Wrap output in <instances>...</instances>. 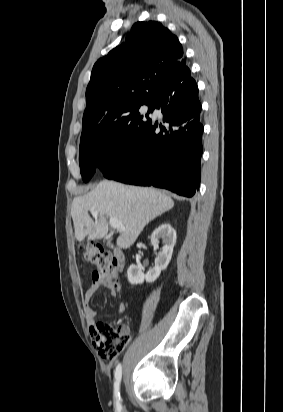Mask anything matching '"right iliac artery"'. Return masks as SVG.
I'll return each mask as SVG.
<instances>
[{"label":"right iliac artery","instance_id":"82829eb1","mask_svg":"<svg viewBox=\"0 0 283 412\" xmlns=\"http://www.w3.org/2000/svg\"><path fill=\"white\" fill-rule=\"evenodd\" d=\"M122 377V367L121 364H118L115 370V383H114V397L116 400V407L118 410L121 409V404H120V381Z\"/></svg>","mask_w":283,"mask_h":412}]
</instances>
